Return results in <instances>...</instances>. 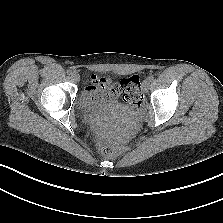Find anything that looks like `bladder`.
<instances>
[{
  "instance_id": "bladder-1",
  "label": "bladder",
  "mask_w": 223,
  "mask_h": 223,
  "mask_svg": "<svg viewBox=\"0 0 223 223\" xmlns=\"http://www.w3.org/2000/svg\"><path fill=\"white\" fill-rule=\"evenodd\" d=\"M79 106L84 110H108L123 109V105L115 102L114 99L105 98L99 94L92 93L85 89L78 98Z\"/></svg>"
}]
</instances>
